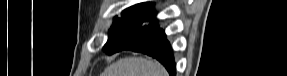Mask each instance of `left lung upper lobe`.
Returning <instances> with one entry per match:
<instances>
[{
  "mask_svg": "<svg viewBox=\"0 0 287 76\" xmlns=\"http://www.w3.org/2000/svg\"><path fill=\"white\" fill-rule=\"evenodd\" d=\"M121 17L115 18V22L109 30L110 36L104 46L108 54H113L159 29V26L155 24L151 2L133 5L122 11ZM147 22L150 24L146 25Z\"/></svg>",
  "mask_w": 287,
  "mask_h": 76,
  "instance_id": "left-lung-upper-lobe-1",
  "label": "left lung upper lobe"
}]
</instances>
